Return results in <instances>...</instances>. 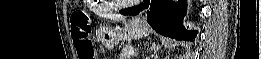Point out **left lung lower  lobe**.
Returning a JSON list of instances; mask_svg holds the SVG:
<instances>
[{
    "label": "left lung lower lobe",
    "mask_w": 261,
    "mask_h": 59,
    "mask_svg": "<svg viewBox=\"0 0 261 59\" xmlns=\"http://www.w3.org/2000/svg\"><path fill=\"white\" fill-rule=\"evenodd\" d=\"M145 8L147 22L158 33L177 40H195L197 31H188L182 24L186 13V3L180 0L173 3L171 0H151L139 6L120 10L123 15H137Z\"/></svg>",
    "instance_id": "1"
}]
</instances>
